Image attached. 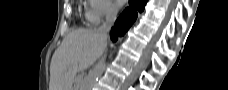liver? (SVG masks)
Here are the masks:
<instances>
[{"mask_svg":"<svg viewBox=\"0 0 228 90\" xmlns=\"http://www.w3.org/2000/svg\"><path fill=\"white\" fill-rule=\"evenodd\" d=\"M106 46L107 40L96 30L78 29L70 32L53 54L49 90H72L77 72L94 64Z\"/></svg>","mask_w":228,"mask_h":90,"instance_id":"6515ba94","label":"liver"}]
</instances>
